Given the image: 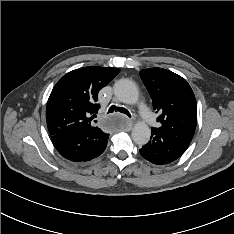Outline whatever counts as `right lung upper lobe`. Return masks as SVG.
Wrapping results in <instances>:
<instances>
[{
    "instance_id": "right-lung-upper-lobe-1",
    "label": "right lung upper lobe",
    "mask_w": 234,
    "mask_h": 234,
    "mask_svg": "<svg viewBox=\"0 0 234 234\" xmlns=\"http://www.w3.org/2000/svg\"><path fill=\"white\" fill-rule=\"evenodd\" d=\"M119 72L118 68L90 66L64 75L54 86L47 103L46 120L51 136L94 127L91 121L100 108L96 103L98 92Z\"/></svg>"
}]
</instances>
